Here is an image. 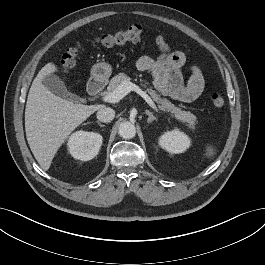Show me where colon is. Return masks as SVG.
Instances as JSON below:
<instances>
[{
    "instance_id": "1",
    "label": "colon",
    "mask_w": 265,
    "mask_h": 265,
    "mask_svg": "<svg viewBox=\"0 0 265 265\" xmlns=\"http://www.w3.org/2000/svg\"><path fill=\"white\" fill-rule=\"evenodd\" d=\"M143 34V30L139 26H131L125 31L117 33L102 34L95 38L94 42L103 47H116L122 46L127 43L138 42ZM78 54V47L74 46L69 48L63 55L62 63L66 68H71L76 61ZM211 103L215 108H220L225 103L224 93L220 90H216L211 94Z\"/></svg>"
}]
</instances>
